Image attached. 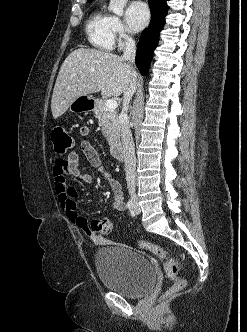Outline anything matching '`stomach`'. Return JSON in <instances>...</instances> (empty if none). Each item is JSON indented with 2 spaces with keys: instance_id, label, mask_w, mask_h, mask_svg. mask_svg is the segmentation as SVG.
<instances>
[{
  "instance_id": "stomach-1",
  "label": "stomach",
  "mask_w": 247,
  "mask_h": 332,
  "mask_svg": "<svg viewBox=\"0 0 247 332\" xmlns=\"http://www.w3.org/2000/svg\"><path fill=\"white\" fill-rule=\"evenodd\" d=\"M93 98L88 95L79 96L70 105V110L74 112L91 110L93 107Z\"/></svg>"
}]
</instances>
